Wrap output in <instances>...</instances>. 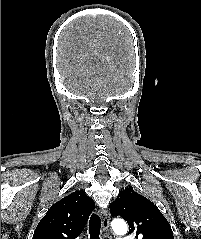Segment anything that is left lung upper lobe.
Returning <instances> with one entry per match:
<instances>
[{"mask_svg": "<svg viewBox=\"0 0 201 239\" xmlns=\"http://www.w3.org/2000/svg\"><path fill=\"white\" fill-rule=\"evenodd\" d=\"M112 216H121L129 225V234L137 239H174L167 219L153 202L133 187L121 191L110 205Z\"/></svg>", "mask_w": 201, "mask_h": 239, "instance_id": "obj_1", "label": "left lung upper lobe"}]
</instances>
